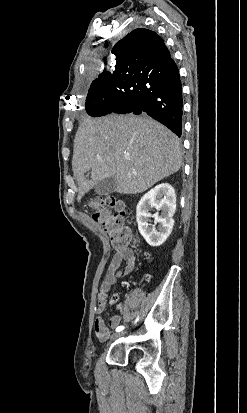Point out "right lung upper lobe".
I'll use <instances>...</instances> for the list:
<instances>
[{
  "mask_svg": "<svg viewBox=\"0 0 247 413\" xmlns=\"http://www.w3.org/2000/svg\"><path fill=\"white\" fill-rule=\"evenodd\" d=\"M116 65L96 80L123 81L129 75L158 72L172 60L164 41L155 32L138 28L118 41L112 49Z\"/></svg>",
  "mask_w": 247,
  "mask_h": 413,
  "instance_id": "obj_1",
  "label": "right lung upper lobe"
}]
</instances>
